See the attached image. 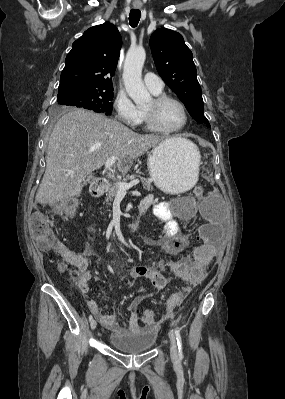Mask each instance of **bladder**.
Here are the masks:
<instances>
[{"instance_id": "bladder-1", "label": "bladder", "mask_w": 285, "mask_h": 399, "mask_svg": "<svg viewBox=\"0 0 285 399\" xmlns=\"http://www.w3.org/2000/svg\"><path fill=\"white\" fill-rule=\"evenodd\" d=\"M182 200L189 198L184 197ZM156 330L153 327L135 328L122 334H111L109 344L119 352L127 355H137L149 351L155 344Z\"/></svg>"}]
</instances>
